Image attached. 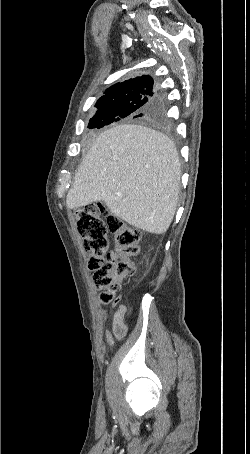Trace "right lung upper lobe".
Instances as JSON below:
<instances>
[{"label":"right lung upper lobe","instance_id":"1","mask_svg":"<svg viewBox=\"0 0 250 454\" xmlns=\"http://www.w3.org/2000/svg\"><path fill=\"white\" fill-rule=\"evenodd\" d=\"M154 80L149 75H143L140 77H136L133 79L125 80L124 82L117 83L105 91V95H103L100 99L118 96L119 94L137 86L142 85H153ZM99 99V100H100Z\"/></svg>","mask_w":250,"mask_h":454}]
</instances>
